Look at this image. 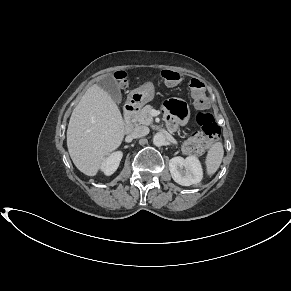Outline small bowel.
Here are the masks:
<instances>
[{"label": "small bowel", "instance_id": "c3829d8e", "mask_svg": "<svg viewBox=\"0 0 291 291\" xmlns=\"http://www.w3.org/2000/svg\"><path fill=\"white\" fill-rule=\"evenodd\" d=\"M171 101L167 103V124L171 129H175L178 125L175 116H183L185 113L184 103L181 101H175L174 107L170 105Z\"/></svg>", "mask_w": 291, "mask_h": 291}]
</instances>
